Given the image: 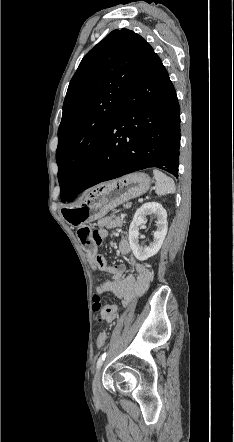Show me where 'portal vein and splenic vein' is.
Returning <instances> with one entry per match:
<instances>
[{"label":"portal vein and splenic vein","mask_w":234,"mask_h":442,"mask_svg":"<svg viewBox=\"0 0 234 442\" xmlns=\"http://www.w3.org/2000/svg\"><path fill=\"white\" fill-rule=\"evenodd\" d=\"M143 201V199H139V202H142Z\"/></svg>","instance_id":"18ae733b"}]
</instances>
